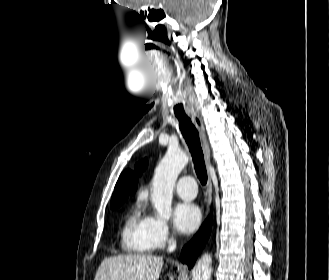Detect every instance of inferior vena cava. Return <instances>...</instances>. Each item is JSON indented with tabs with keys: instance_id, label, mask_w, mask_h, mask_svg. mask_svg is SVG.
<instances>
[{
	"instance_id": "1",
	"label": "inferior vena cava",
	"mask_w": 329,
	"mask_h": 280,
	"mask_svg": "<svg viewBox=\"0 0 329 280\" xmlns=\"http://www.w3.org/2000/svg\"><path fill=\"white\" fill-rule=\"evenodd\" d=\"M176 248V241L172 240V243L169 244L168 251L172 252Z\"/></svg>"
}]
</instances>
